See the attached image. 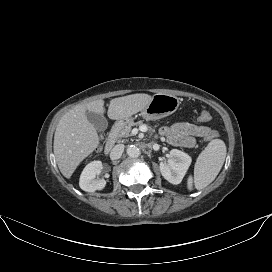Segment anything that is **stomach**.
Instances as JSON below:
<instances>
[{
  "instance_id": "stomach-1",
  "label": "stomach",
  "mask_w": 272,
  "mask_h": 272,
  "mask_svg": "<svg viewBox=\"0 0 272 272\" xmlns=\"http://www.w3.org/2000/svg\"><path fill=\"white\" fill-rule=\"evenodd\" d=\"M180 100L174 95L158 93L152 96L149 104L141 110L145 120H157L173 114L179 107ZM131 118L121 119L120 124H127Z\"/></svg>"
}]
</instances>
